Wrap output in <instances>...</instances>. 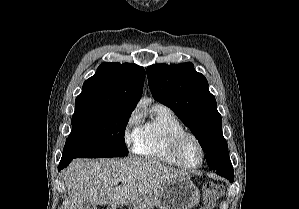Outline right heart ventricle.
Segmentation results:
<instances>
[{
	"label": "right heart ventricle",
	"instance_id": "1",
	"mask_svg": "<svg viewBox=\"0 0 299 209\" xmlns=\"http://www.w3.org/2000/svg\"><path fill=\"white\" fill-rule=\"evenodd\" d=\"M183 132V124L170 109L154 105L149 118L139 124L133 150L143 157L177 166L171 155V143Z\"/></svg>",
	"mask_w": 299,
	"mask_h": 209
}]
</instances>
